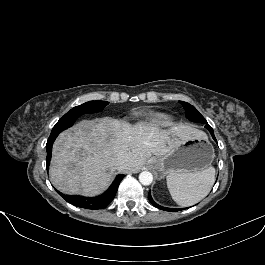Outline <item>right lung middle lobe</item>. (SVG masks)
I'll list each match as a JSON object with an SVG mask.
<instances>
[{
	"instance_id": "right-lung-middle-lobe-1",
	"label": "right lung middle lobe",
	"mask_w": 265,
	"mask_h": 265,
	"mask_svg": "<svg viewBox=\"0 0 265 265\" xmlns=\"http://www.w3.org/2000/svg\"><path fill=\"white\" fill-rule=\"evenodd\" d=\"M109 104L106 101H89L82 105L72 108L66 113L57 123L62 124L71 120L72 118H78L83 114L100 112Z\"/></svg>"
}]
</instances>
